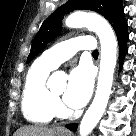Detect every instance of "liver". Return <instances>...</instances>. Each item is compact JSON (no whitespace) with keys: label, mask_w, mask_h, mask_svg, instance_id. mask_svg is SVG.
Wrapping results in <instances>:
<instances>
[{"label":"liver","mask_w":136,"mask_h":136,"mask_svg":"<svg viewBox=\"0 0 136 136\" xmlns=\"http://www.w3.org/2000/svg\"><path fill=\"white\" fill-rule=\"evenodd\" d=\"M14 136H56V131L46 127L26 126L18 129Z\"/></svg>","instance_id":"6515ba94"}]
</instances>
